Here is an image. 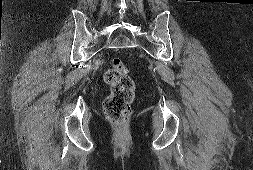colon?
<instances>
[{"mask_svg": "<svg viewBox=\"0 0 253 170\" xmlns=\"http://www.w3.org/2000/svg\"><path fill=\"white\" fill-rule=\"evenodd\" d=\"M104 79L111 88V93L104 102L105 115L112 124L123 125L129 121L131 115V103L135 93L134 81L128 76L127 69L119 58L111 60V66Z\"/></svg>", "mask_w": 253, "mask_h": 170, "instance_id": "obj_1", "label": "colon"}]
</instances>
